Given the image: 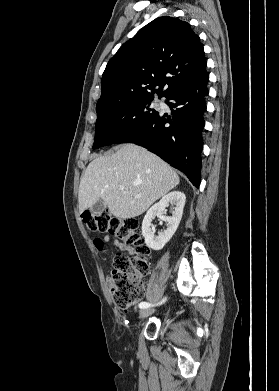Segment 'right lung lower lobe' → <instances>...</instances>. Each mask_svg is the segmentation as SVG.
I'll list each match as a JSON object with an SVG mask.
<instances>
[{
	"instance_id": "98d812e1",
	"label": "right lung lower lobe",
	"mask_w": 279,
	"mask_h": 391,
	"mask_svg": "<svg viewBox=\"0 0 279 391\" xmlns=\"http://www.w3.org/2000/svg\"><path fill=\"white\" fill-rule=\"evenodd\" d=\"M208 73L178 88L167 97L171 115L158 113L153 119L138 125L115 143L133 142L157 154L173 167L185 173L196 187L201 181V131L208 95Z\"/></svg>"
}]
</instances>
